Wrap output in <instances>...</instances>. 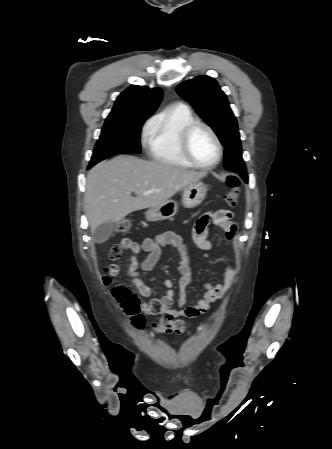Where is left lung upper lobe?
I'll use <instances>...</instances> for the list:
<instances>
[{
	"label": "left lung upper lobe",
	"mask_w": 332,
	"mask_h": 449,
	"mask_svg": "<svg viewBox=\"0 0 332 449\" xmlns=\"http://www.w3.org/2000/svg\"><path fill=\"white\" fill-rule=\"evenodd\" d=\"M177 92L196 109L198 115L219 137L225 147V169L239 173L247 182L237 121L216 80L209 76H199L181 83Z\"/></svg>",
	"instance_id": "5c2ea615"
}]
</instances>
